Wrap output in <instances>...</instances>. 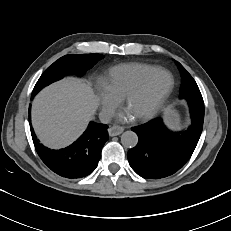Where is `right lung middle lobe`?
<instances>
[{
  "label": "right lung middle lobe",
  "instance_id": "1",
  "mask_svg": "<svg viewBox=\"0 0 231 231\" xmlns=\"http://www.w3.org/2000/svg\"><path fill=\"white\" fill-rule=\"evenodd\" d=\"M103 57L101 54H70L61 57L41 75L33 89L32 98L43 87L63 78L65 75L77 74L82 76L86 70Z\"/></svg>",
  "mask_w": 231,
  "mask_h": 231
}]
</instances>
